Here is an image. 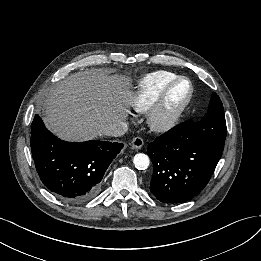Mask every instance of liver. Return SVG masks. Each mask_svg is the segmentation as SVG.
Wrapping results in <instances>:
<instances>
[{
    "instance_id": "1",
    "label": "liver",
    "mask_w": 261,
    "mask_h": 261,
    "mask_svg": "<svg viewBox=\"0 0 261 261\" xmlns=\"http://www.w3.org/2000/svg\"><path fill=\"white\" fill-rule=\"evenodd\" d=\"M128 84L100 69L72 74L49 91L44 123L65 140L97 138L102 127L127 118L132 97Z\"/></svg>"
}]
</instances>
